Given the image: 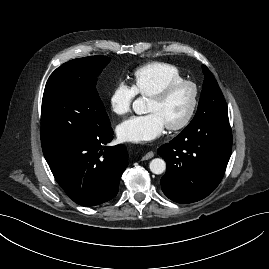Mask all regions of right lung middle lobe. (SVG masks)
Here are the masks:
<instances>
[{
    "label": "right lung middle lobe",
    "instance_id": "dd1d6c3e",
    "mask_svg": "<svg viewBox=\"0 0 269 269\" xmlns=\"http://www.w3.org/2000/svg\"><path fill=\"white\" fill-rule=\"evenodd\" d=\"M109 62L106 56L78 58L51 74L42 100L43 150L70 144L110 127L96 91L97 76Z\"/></svg>",
    "mask_w": 269,
    "mask_h": 269
}]
</instances>
